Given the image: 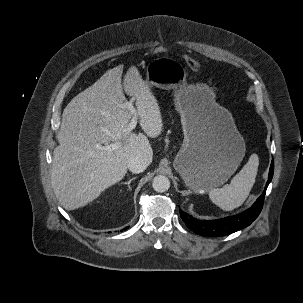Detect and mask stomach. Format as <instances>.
<instances>
[{"instance_id":"0dacf381","label":"stomach","mask_w":303,"mask_h":303,"mask_svg":"<svg viewBox=\"0 0 303 303\" xmlns=\"http://www.w3.org/2000/svg\"><path fill=\"white\" fill-rule=\"evenodd\" d=\"M146 72L149 87L175 90L184 142L174 168L186 186L203 194L223 185L237 170L246 151L232 114L216 103L206 84L188 85L185 69L172 58L152 60Z\"/></svg>"}]
</instances>
